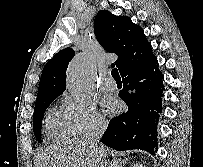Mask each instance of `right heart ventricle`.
Returning a JSON list of instances; mask_svg holds the SVG:
<instances>
[{"label":"right heart ventricle","instance_id":"e07e8e85","mask_svg":"<svg viewBox=\"0 0 203 167\" xmlns=\"http://www.w3.org/2000/svg\"><path fill=\"white\" fill-rule=\"evenodd\" d=\"M45 131L47 136L53 140H64L73 135L63 113L56 109L49 112L45 122Z\"/></svg>","mask_w":203,"mask_h":167}]
</instances>
